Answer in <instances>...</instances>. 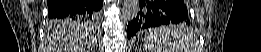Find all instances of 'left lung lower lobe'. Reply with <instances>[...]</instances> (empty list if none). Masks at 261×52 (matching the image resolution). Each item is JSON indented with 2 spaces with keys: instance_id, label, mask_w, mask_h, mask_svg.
Masks as SVG:
<instances>
[{
  "instance_id": "0a47b994",
  "label": "left lung lower lobe",
  "mask_w": 261,
  "mask_h": 52,
  "mask_svg": "<svg viewBox=\"0 0 261 52\" xmlns=\"http://www.w3.org/2000/svg\"><path fill=\"white\" fill-rule=\"evenodd\" d=\"M140 12L127 26V37L131 38L136 32L160 25L179 24L190 25L187 7L183 0H139Z\"/></svg>"
}]
</instances>
